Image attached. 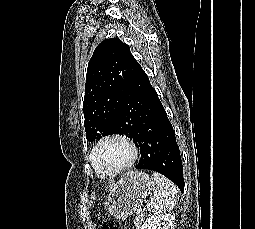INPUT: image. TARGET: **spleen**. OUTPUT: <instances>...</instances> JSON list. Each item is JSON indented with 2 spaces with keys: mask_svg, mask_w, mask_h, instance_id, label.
<instances>
[{
  "mask_svg": "<svg viewBox=\"0 0 255 229\" xmlns=\"http://www.w3.org/2000/svg\"><path fill=\"white\" fill-rule=\"evenodd\" d=\"M153 197L147 204V209L159 214L175 207L177 188L174 183L158 172L152 174Z\"/></svg>",
  "mask_w": 255,
  "mask_h": 229,
  "instance_id": "3e777b00",
  "label": "spleen"
}]
</instances>
